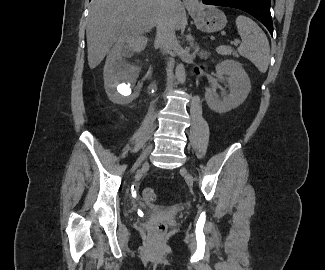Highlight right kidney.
Wrapping results in <instances>:
<instances>
[{
	"instance_id": "1",
	"label": "right kidney",
	"mask_w": 325,
	"mask_h": 270,
	"mask_svg": "<svg viewBox=\"0 0 325 270\" xmlns=\"http://www.w3.org/2000/svg\"><path fill=\"white\" fill-rule=\"evenodd\" d=\"M140 51L133 42H118L109 52L103 76L106 93L113 103L125 105L138 97L144 81L139 77L144 75L147 65L140 59H128Z\"/></svg>"
}]
</instances>
